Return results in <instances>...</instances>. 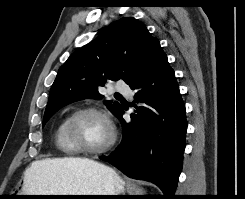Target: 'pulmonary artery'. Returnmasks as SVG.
<instances>
[{
    "mask_svg": "<svg viewBox=\"0 0 245 199\" xmlns=\"http://www.w3.org/2000/svg\"><path fill=\"white\" fill-rule=\"evenodd\" d=\"M113 91L115 92H120V93H125L130 95L131 94V90L129 88V86L123 82H118L114 85L113 87Z\"/></svg>",
    "mask_w": 245,
    "mask_h": 199,
    "instance_id": "1",
    "label": "pulmonary artery"
}]
</instances>
